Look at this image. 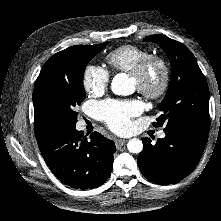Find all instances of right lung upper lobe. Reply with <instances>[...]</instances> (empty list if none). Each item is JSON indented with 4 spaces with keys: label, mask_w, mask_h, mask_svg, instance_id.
I'll use <instances>...</instances> for the list:
<instances>
[{
    "label": "right lung upper lobe",
    "mask_w": 221,
    "mask_h": 221,
    "mask_svg": "<svg viewBox=\"0 0 221 221\" xmlns=\"http://www.w3.org/2000/svg\"><path fill=\"white\" fill-rule=\"evenodd\" d=\"M77 46L69 47L63 51H60L53 55L51 58L48 59V61L44 64L43 67H45L48 62L59 55H63L66 53H69L76 49ZM33 105H34V131L36 135V139L39 140L43 138L45 135H47L52 130L56 129L58 127L56 118L52 111L39 99V97L36 94V91H33Z\"/></svg>",
    "instance_id": "obj_1"
}]
</instances>
